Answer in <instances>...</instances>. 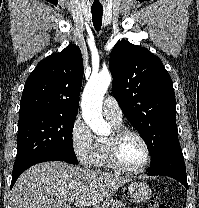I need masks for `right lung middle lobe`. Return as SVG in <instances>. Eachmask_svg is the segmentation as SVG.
Here are the masks:
<instances>
[{"label": "right lung middle lobe", "mask_w": 199, "mask_h": 208, "mask_svg": "<svg viewBox=\"0 0 199 208\" xmlns=\"http://www.w3.org/2000/svg\"><path fill=\"white\" fill-rule=\"evenodd\" d=\"M76 114L61 115L44 111L19 114L17 157L13 169L36 158L58 157L75 164L72 130Z\"/></svg>", "instance_id": "dd1d6c3e"}]
</instances>
